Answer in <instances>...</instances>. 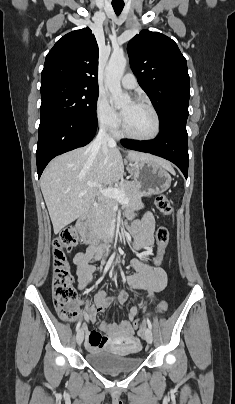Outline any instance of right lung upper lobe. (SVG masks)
<instances>
[{
  "instance_id": "obj_1",
  "label": "right lung upper lobe",
  "mask_w": 235,
  "mask_h": 404,
  "mask_svg": "<svg viewBox=\"0 0 235 404\" xmlns=\"http://www.w3.org/2000/svg\"><path fill=\"white\" fill-rule=\"evenodd\" d=\"M98 53L95 36L88 27L64 35L46 56L41 85L66 83L98 90Z\"/></svg>"
}]
</instances>
